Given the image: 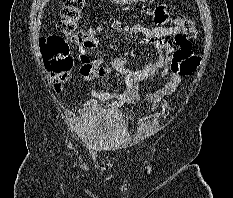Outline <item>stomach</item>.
<instances>
[{"label": "stomach", "instance_id": "1", "mask_svg": "<svg viewBox=\"0 0 233 198\" xmlns=\"http://www.w3.org/2000/svg\"><path fill=\"white\" fill-rule=\"evenodd\" d=\"M111 1L116 3V4L126 5V4L136 3L139 0H111ZM140 1L145 2L147 0H140Z\"/></svg>", "mask_w": 233, "mask_h": 198}]
</instances>
